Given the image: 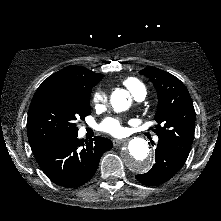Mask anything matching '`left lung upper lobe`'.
Listing matches in <instances>:
<instances>
[{
    "label": "left lung upper lobe",
    "instance_id": "5c2ea615",
    "mask_svg": "<svg viewBox=\"0 0 221 221\" xmlns=\"http://www.w3.org/2000/svg\"><path fill=\"white\" fill-rule=\"evenodd\" d=\"M140 73L153 82L158 93L154 117L158 125L153 131L160 143L186 161L195 129V110L187 88L177 77L155 67H147Z\"/></svg>",
    "mask_w": 221,
    "mask_h": 221
}]
</instances>
